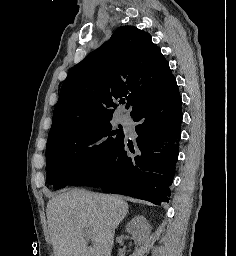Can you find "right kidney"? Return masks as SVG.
<instances>
[{"instance_id":"ca27d5eb","label":"right kidney","mask_w":236,"mask_h":256,"mask_svg":"<svg viewBox=\"0 0 236 256\" xmlns=\"http://www.w3.org/2000/svg\"><path fill=\"white\" fill-rule=\"evenodd\" d=\"M126 230L129 234H132L136 246H140V248L149 246L151 242V226L144 216H135V218L129 222Z\"/></svg>"}]
</instances>
